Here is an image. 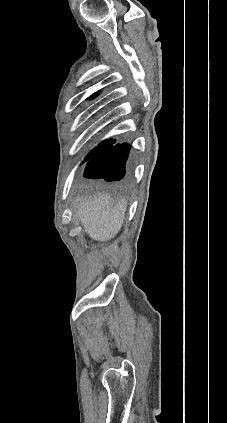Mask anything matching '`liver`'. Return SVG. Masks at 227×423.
<instances>
[{"label":"liver","mask_w":227,"mask_h":423,"mask_svg":"<svg viewBox=\"0 0 227 423\" xmlns=\"http://www.w3.org/2000/svg\"><path fill=\"white\" fill-rule=\"evenodd\" d=\"M126 202L112 204L111 196H80L76 200L75 219L95 241H108L119 233L125 219Z\"/></svg>","instance_id":"obj_1"}]
</instances>
